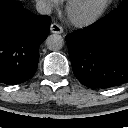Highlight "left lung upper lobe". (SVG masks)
<instances>
[{
    "label": "left lung upper lobe",
    "mask_w": 128,
    "mask_h": 128,
    "mask_svg": "<svg viewBox=\"0 0 128 128\" xmlns=\"http://www.w3.org/2000/svg\"><path fill=\"white\" fill-rule=\"evenodd\" d=\"M128 6V0H123V2L118 7Z\"/></svg>",
    "instance_id": "left-lung-upper-lobe-1"
}]
</instances>
